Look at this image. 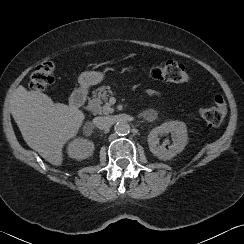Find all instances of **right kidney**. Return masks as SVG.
<instances>
[{"instance_id":"ca27d5eb","label":"right kidney","mask_w":244,"mask_h":244,"mask_svg":"<svg viewBox=\"0 0 244 244\" xmlns=\"http://www.w3.org/2000/svg\"><path fill=\"white\" fill-rule=\"evenodd\" d=\"M93 151V142L82 137L74 139L68 144L67 147L69 157L76 160H83L90 157Z\"/></svg>"}]
</instances>
